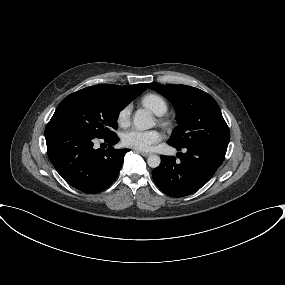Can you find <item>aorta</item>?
<instances>
[{"mask_svg":"<svg viewBox=\"0 0 285 285\" xmlns=\"http://www.w3.org/2000/svg\"><path fill=\"white\" fill-rule=\"evenodd\" d=\"M133 123L139 130L151 129L156 124L152 114L144 109L136 111ZM147 163L151 168H157L161 163V159L158 155H150L147 159Z\"/></svg>","mask_w":285,"mask_h":285,"instance_id":"762f6f07","label":"aorta"}]
</instances>
